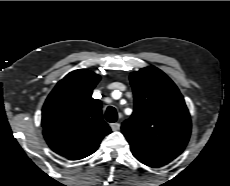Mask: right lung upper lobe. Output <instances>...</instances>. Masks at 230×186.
<instances>
[{"mask_svg":"<svg viewBox=\"0 0 230 186\" xmlns=\"http://www.w3.org/2000/svg\"><path fill=\"white\" fill-rule=\"evenodd\" d=\"M100 76L81 69L66 75L47 97L42 110L43 134L56 153L78 160L94 153L111 133L101 102L92 98Z\"/></svg>","mask_w":230,"mask_h":186,"instance_id":"right-lung-upper-lobe-1","label":"right lung upper lobe"}]
</instances>
